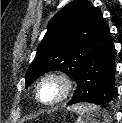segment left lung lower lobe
Wrapping results in <instances>:
<instances>
[{
  "label": "left lung lower lobe",
  "mask_w": 122,
  "mask_h": 123,
  "mask_svg": "<svg viewBox=\"0 0 122 123\" xmlns=\"http://www.w3.org/2000/svg\"><path fill=\"white\" fill-rule=\"evenodd\" d=\"M72 105L89 102L107 105L115 96V48L111 36L86 63L78 78Z\"/></svg>",
  "instance_id": "left-lung-lower-lobe-1"
}]
</instances>
